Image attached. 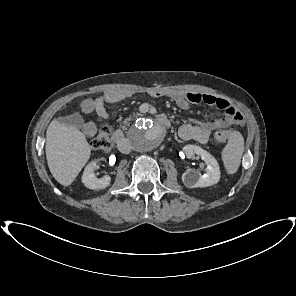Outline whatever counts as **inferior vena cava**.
Segmentation results:
<instances>
[{
	"label": "inferior vena cava",
	"instance_id": "obj_1",
	"mask_svg": "<svg viewBox=\"0 0 296 296\" xmlns=\"http://www.w3.org/2000/svg\"><path fill=\"white\" fill-rule=\"evenodd\" d=\"M119 150L122 153H128L130 151V144L128 142H126L125 144L119 145Z\"/></svg>",
	"mask_w": 296,
	"mask_h": 296
}]
</instances>
